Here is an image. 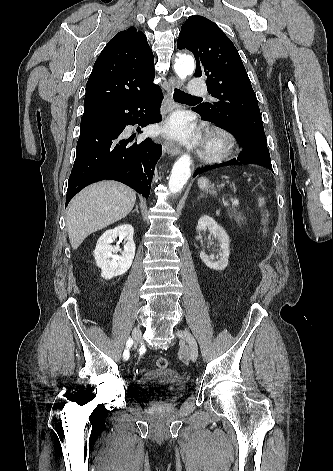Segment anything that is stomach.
I'll return each instance as SVG.
<instances>
[{
  "label": "stomach",
  "mask_w": 333,
  "mask_h": 471,
  "mask_svg": "<svg viewBox=\"0 0 333 471\" xmlns=\"http://www.w3.org/2000/svg\"><path fill=\"white\" fill-rule=\"evenodd\" d=\"M198 186L202 190H208L212 187L209 180L207 178H203V177L198 180Z\"/></svg>",
  "instance_id": "stomach-1"
}]
</instances>
